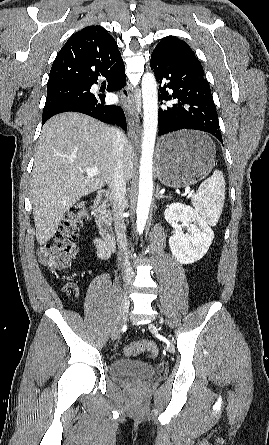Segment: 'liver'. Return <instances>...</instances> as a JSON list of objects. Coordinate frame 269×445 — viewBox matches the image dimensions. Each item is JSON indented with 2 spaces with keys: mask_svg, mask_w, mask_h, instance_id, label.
I'll list each match as a JSON object with an SVG mask.
<instances>
[{
  "mask_svg": "<svg viewBox=\"0 0 269 445\" xmlns=\"http://www.w3.org/2000/svg\"><path fill=\"white\" fill-rule=\"evenodd\" d=\"M125 180L132 178L135 153L130 141L123 150ZM114 159L110 127L79 113H63L43 126L35 153L31 196L36 238L53 237L66 211L82 197L111 184ZM100 174L85 176L86 168ZM83 170V171H82Z\"/></svg>",
  "mask_w": 269,
  "mask_h": 445,
  "instance_id": "1",
  "label": "liver"
}]
</instances>
